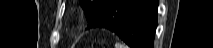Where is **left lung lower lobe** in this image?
<instances>
[{"label": "left lung lower lobe", "instance_id": "left-lung-lower-lobe-1", "mask_svg": "<svg viewBox=\"0 0 213 48\" xmlns=\"http://www.w3.org/2000/svg\"><path fill=\"white\" fill-rule=\"evenodd\" d=\"M158 0H110L88 21L116 33L131 48H154Z\"/></svg>", "mask_w": 213, "mask_h": 48}]
</instances>
